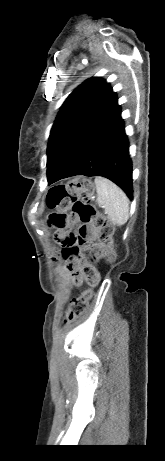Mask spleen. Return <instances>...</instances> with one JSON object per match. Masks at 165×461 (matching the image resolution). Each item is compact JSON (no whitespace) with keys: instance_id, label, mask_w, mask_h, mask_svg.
<instances>
[{"instance_id":"obj_1","label":"spleen","mask_w":165,"mask_h":461,"mask_svg":"<svg viewBox=\"0 0 165 461\" xmlns=\"http://www.w3.org/2000/svg\"><path fill=\"white\" fill-rule=\"evenodd\" d=\"M97 203L105 210L107 218L115 225H124L129 218V199L113 182L103 177L95 178Z\"/></svg>"}]
</instances>
